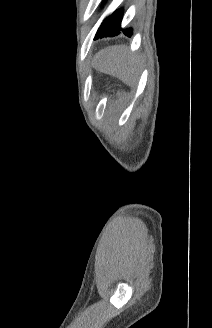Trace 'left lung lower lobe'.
Wrapping results in <instances>:
<instances>
[{
    "label": "left lung lower lobe",
    "instance_id": "0a47b994",
    "mask_svg": "<svg viewBox=\"0 0 212 328\" xmlns=\"http://www.w3.org/2000/svg\"><path fill=\"white\" fill-rule=\"evenodd\" d=\"M123 16V10L119 9L115 11L113 14L108 16L99 27L95 39L103 38V37H112L120 34V31L129 37L132 35V29H122L121 28V20Z\"/></svg>",
    "mask_w": 212,
    "mask_h": 328
}]
</instances>
